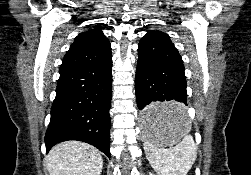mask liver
<instances>
[{
	"instance_id": "1",
	"label": "liver",
	"mask_w": 251,
	"mask_h": 175,
	"mask_svg": "<svg viewBox=\"0 0 251 175\" xmlns=\"http://www.w3.org/2000/svg\"><path fill=\"white\" fill-rule=\"evenodd\" d=\"M50 175H100L103 159L99 149L83 141H62L46 155Z\"/></svg>"
}]
</instances>
